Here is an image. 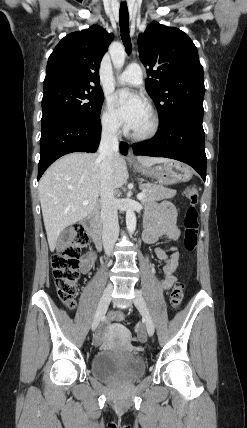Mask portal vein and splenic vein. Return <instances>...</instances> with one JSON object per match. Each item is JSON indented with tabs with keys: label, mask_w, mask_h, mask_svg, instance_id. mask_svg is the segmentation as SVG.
I'll use <instances>...</instances> for the list:
<instances>
[{
	"label": "portal vein and splenic vein",
	"mask_w": 247,
	"mask_h": 428,
	"mask_svg": "<svg viewBox=\"0 0 247 428\" xmlns=\"http://www.w3.org/2000/svg\"><path fill=\"white\" fill-rule=\"evenodd\" d=\"M144 198V193L142 192V193H139L138 195H137V199L138 200H142ZM88 204V201L87 200H84L83 201V205H87Z\"/></svg>",
	"instance_id": "18ae733b"
}]
</instances>
